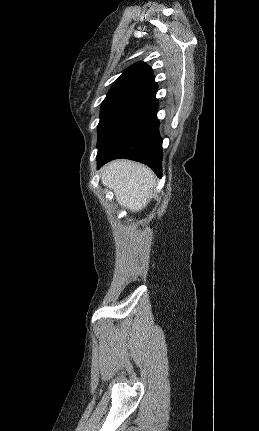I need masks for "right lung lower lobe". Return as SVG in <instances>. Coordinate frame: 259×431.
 <instances>
[{"label": "right lung lower lobe", "mask_w": 259, "mask_h": 431, "mask_svg": "<svg viewBox=\"0 0 259 431\" xmlns=\"http://www.w3.org/2000/svg\"><path fill=\"white\" fill-rule=\"evenodd\" d=\"M156 92L131 108L97 146L98 169L105 163L127 158L148 165L162 175V138L157 119Z\"/></svg>", "instance_id": "obj_1"}]
</instances>
